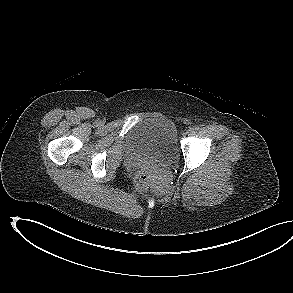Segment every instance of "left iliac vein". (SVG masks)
I'll use <instances>...</instances> for the list:
<instances>
[{
    "instance_id": "4c4485c4",
    "label": "left iliac vein",
    "mask_w": 293,
    "mask_h": 293,
    "mask_svg": "<svg viewBox=\"0 0 293 293\" xmlns=\"http://www.w3.org/2000/svg\"><path fill=\"white\" fill-rule=\"evenodd\" d=\"M193 132H194L193 128H189L186 133L188 135H191Z\"/></svg>"
}]
</instances>
